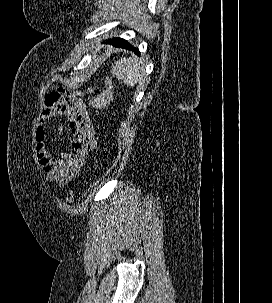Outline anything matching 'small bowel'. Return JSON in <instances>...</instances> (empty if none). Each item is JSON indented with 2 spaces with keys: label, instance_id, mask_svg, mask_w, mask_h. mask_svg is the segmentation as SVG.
Masks as SVG:
<instances>
[{
  "label": "small bowel",
  "instance_id": "c3829d8e",
  "mask_svg": "<svg viewBox=\"0 0 272 303\" xmlns=\"http://www.w3.org/2000/svg\"><path fill=\"white\" fill-rule=\"evenodd\" d=\"M90 90L66 91L59 89L49 93L39 116L35 131V150L46 181L64 187L74 180L84 166L88 154L97 145L95 127L88 107L81 97ZM57 116L69 119L70 150L57 157L50 150L52 120ZM58 127L55 134H61Z\"/></svg>",
  "mask_w": 272,
  "mask_h": 303
}]
</instances>
